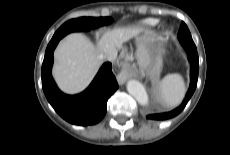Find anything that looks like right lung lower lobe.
<instances>
[{
    "label": "right lung lower lobe",
    "mask_w": 230,
    "mask_h": 155,
    "mask_svg": "<svg viewBox=\"0 0 230 155\" xmlns=\"http://www.w3.org/2000/svg\"><path fill=\"white\" fill-rule=\"evenodd\" d=\"M60 40V39H59ZM58 39L47 46L42 64V88L55 111L66 121L75 125H93L105 115L109 97L118 89L111 63H105L90 86L80 94L66 95L56 86L52 76L53 51Z\"/></svg>",
    "instance_id": "obj_1"
}]
</instances>
